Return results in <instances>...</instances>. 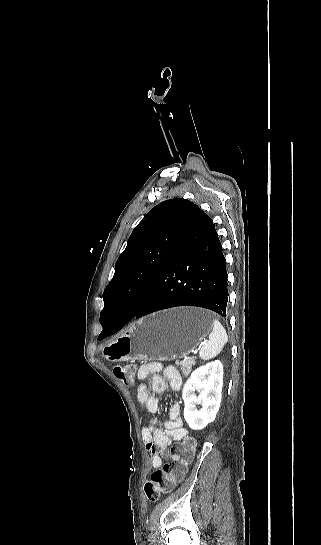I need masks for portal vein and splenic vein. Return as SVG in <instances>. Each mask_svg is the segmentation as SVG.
I'll return each instance as SVG.
<instances>
[{
	"mask_svg": "<svg viewBox=\"0 0 321 545\" xmlns=\"http://www.w3.org/2000/svg\"><path fill=\"white\" fill-rule=\"evenodd\" d=\"M206 340H201V342H199V344L192 350V353L194 355H197L198 353H201L202 352V349L204 348V345H206Z\"/></svg>",
	"mask_w": 321,
	"mask_h": 545,
	"instance_id": "1",
	"label": "portal vein and splenic vein"
}]
</instances>
